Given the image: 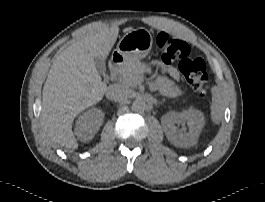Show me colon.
Returning <instances> with one entry per match:
<instances>
[{
	"instance_id": "obj_1",
	"label": "colon",
	"mask_w": 265,
	"mask_h": 202,
	"mask_svg": "<svg viewBox=\"0 0 265 202\" xmlns=\"http://www.w3.org/2000/svg\"><path fill=\"white\" fill-rule=\"evenodd\" d=\"M159 58L169 63L180 61V71L192 89L199 95L206 94L205 83L208 73L205 63L200 58H190V48L185 41L179 40L166 32H161L156 40Z\"/></svg>"
}]
</instances>
